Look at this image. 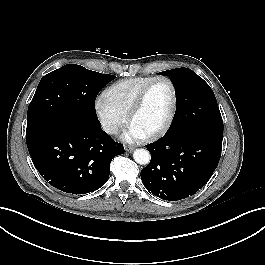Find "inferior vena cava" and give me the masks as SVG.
<instances>
[{
  "label": "inferior vena cava",
  "mask_w": 265,
  "mask_h": 265,
  "mask_svg": "<svg viewBox=\"0 0 265 265\" xmlns=\"http://www.w3.org/2000/svg\"><path fill=\"white\" fill-rule=\"evenodd\" d=\"M103 130L106 133H109V134H117L118 133V127H117V125L111 124V123H105L103 125Z\"/></svg>",
  "instance_id": "1"
}]
</instances>
